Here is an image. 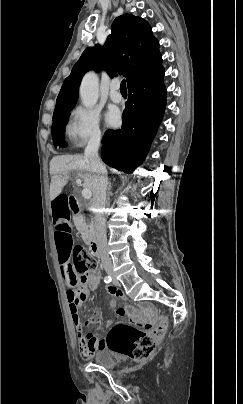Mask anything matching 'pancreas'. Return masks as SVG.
I'll list each match as a JSON object with an SVG mask.
<instances>
[{"label":"pancreas","instance_id":"obj_1","mask_svg":"<svg viewBox=\"0 0 243 404\" xmlns=\"http://www.w3.org/2000/svg\"><path fill=\"white\" fill-rule=\"evenodd\" d=\"M74 224H75L78 232H80L81 238H82V240H84L85 244H88V242H91V240L93 238V232H94L93 228H90V230H88V226H87V224H85L83 218H77V220H75Z\"/></svg>","mask_w":243,"mask_h":404}]
</instances>
